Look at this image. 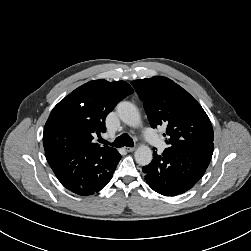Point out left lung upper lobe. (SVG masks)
Segmentation results:
<instances>
[{"label": "left lung upper lobe", "mask_w": 251, "mask_h": 251, "mask_svg": "<svg viewBox=\"0 0 251 251\" xmlns=\"http://www.w3.org/2000/svg\"><path fill=\"white\" fill-rule=\"evenodd\" d=\"M143 101L152 128L163 126L167 149L212 156L213 129L200 104L172 80L154 76L131 82Z\"/></svg>", "instance_id": "5c2ea615"}]
</instances>
